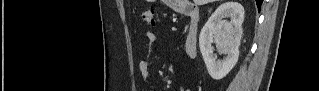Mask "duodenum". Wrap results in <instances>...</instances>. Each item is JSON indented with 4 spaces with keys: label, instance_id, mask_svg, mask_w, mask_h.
Returning <instances> with one entry per match:
<instances>
[{
    "label": "duodenum",
    "instance_id": "410a0bca",
    "mask_svg": "<svg viewBox=\"0 0 319 91\" xmlns=\"http://www.w3.org/2000/svg\"><path fill=\"white\" fill-rule=\"evenodd\" d=\"M183 13L189 17V26L184 42V50L186 55L190 59H193L197 55L200 15L198 9L192 4H187L183 9Z\"/></svg>",
    "mask_w": 319,
    "mask_h": 91
}]
</instances>
